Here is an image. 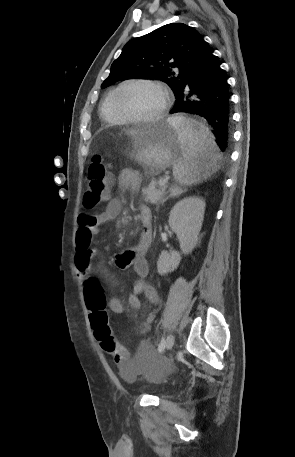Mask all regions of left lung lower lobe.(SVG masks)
Here are the masks:
<instances>
[{
	"label": "left lung lower lobe",
	"mask_w": 295,
	"mask_h": 457,
	"mask_svg": "<svg viewBox=\"0 0 295 457\" xmlns=\"http://www.w3.org/2000/svg\"><path fill=\"white\" fill-rule=\"evenodd\" d=\"M183 84L170 111L204 117L213 127L214 141L222 152L231 136L230 96L226 77L213 52L203 40L183 73Z\"/></svg>",
	"instance_id": "0a47b994"
}]
</instances>
